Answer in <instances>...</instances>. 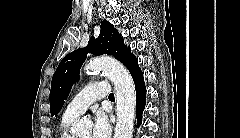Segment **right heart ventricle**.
I'll return each instance as SVG.
<instances>
[{
	"label": "right heart ventricle",
	"instance_id": "e07e8e85",
	"mask_svg": "<svg viewBox=\"0 0 240 138\" xmlns=\"http://www.w3.org/2000/svg\"><path fill=\"white\" fill-rule=\"evenodd\" d=\"M75 117H68V116H63L59 130H58V138H75L71 133H70V125L73 122Z\"/></svg>",
	"mask_w": 240,
	"mask_h": 138
}]
</instances>
